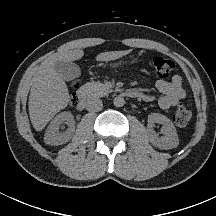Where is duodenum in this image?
Listing matches in <instances>:
<instances>
[{"label":"duodenum","mask_w":216,"mask_h":216,"mask_svg":"<svg viewBox=\"0 0 216 216\" xmlns=\"http://www.w3.org/2000/svg\"><path fill=\"white\" fill-rule=\"evenodd\" d=\"M121 94L127 98L131 99H143V96L140 92L133 91V90H123ZM87 104V89L85 87H81L78 91V97H77V107L78 109L82 110L85 108Z\"/></svg>","instance_id":"410a0bca"}]
</instances>
